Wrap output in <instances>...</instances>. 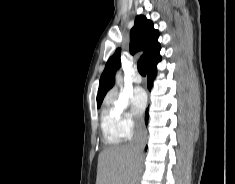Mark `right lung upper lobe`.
<instances>
[{
    "instance_id": "cb5924a9",
    "label": "right lung upper lobe",
    "mask_w": 235,
    "mask_h": 184,
    "mask_svg": "<svg viewBox=\"0 0 235 184\" xmlns=\"http://www.w3.org/2000/svg\"><path fill=\"white\" fill-rule=\"evenodd\" d=\"M159 32L154 29L153 23L145 16L139 15L135 18V24L130 31V53L143 51L141 56L145 59L146 68L161 59L159 55L160 44L158 42ZM120 49L109 58L99 81L97 94V105L101 104L106 92L115 83V73L121 66Z\"/></svg>"
}]
</instances>
